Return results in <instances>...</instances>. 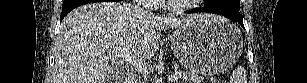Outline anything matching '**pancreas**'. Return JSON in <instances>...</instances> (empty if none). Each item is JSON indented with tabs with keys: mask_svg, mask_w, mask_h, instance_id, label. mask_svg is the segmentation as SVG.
Returning <instances> with one entry per match:
<instances>
[{
	"mask_svg": "<svg viewBox=\"0 0 307 83\" xmlns=\"http://www.w3.org/2000/svg\"><path fill=\"white\" fill-rule=\"evenodd\" d=\"M173 74H177L180 79L189 83H203V77L193 72H186L184 70L175 69Z\"/></svg>",
	"mask_w": 307,
	"mask_h": 83,
	"instance_id": "cf45deb5",
	"label": "pancreas"
}]
</instances>
